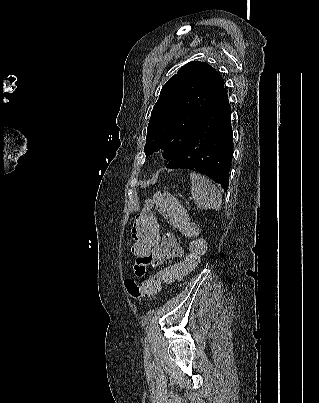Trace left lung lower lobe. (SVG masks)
<instances>
[{"label":"left lung lower lobe","mask_w":319,"mask_h":403,"mask_svg":"<svg viewBox=\"0 0 319 403\" xmlns=\"http://www.w3.org/2000/svg\"><path fill=\"white\" fill-rule=\"evenodd\" d=\"M233 154L231 113L224 88L193 127L182 150L166 168L198 171L228 189Z\"/></svg>","instance_id":"0a47b994"}]
</instances>
